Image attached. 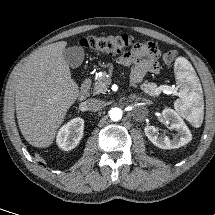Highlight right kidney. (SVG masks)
<instances>
[{
	"instance_id": "1",
	"label": "right kidney",
	"mask_w": 215,
	"mask_h": 215,
	"mask_svg": "<svg viewBox=\"0 0 215 215\" xmlns=\"http://www.w3.org/2000/svg\"><path fill=\"white\" fill-rule=\"evenodd\" d=\"M84 120L80 117L70 120L58 131L56 142L58 146L69 151L75 148L83 137Z\"/></svg>"
}]
</instances>
